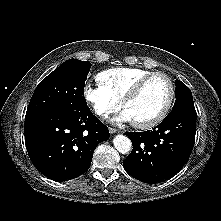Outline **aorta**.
Wrapping results in <instances>:
<instances>
[{
  "label": "aorta",
  "instance_id": "1",
  "mask_svg": "<svg viewBox=\"0 0 221 221\" xmlns=\"http://www.w3.org/2000/svg\"><path fill=\"white\" fill-rule=\"evenodd\" d=\"M113 144L121 154L128 153L132 148L131 140L124 135L115 136L113 139Z\"/></svg>",
  "mask_w": 221,
  "mask_h": 221
}]
</instances>
